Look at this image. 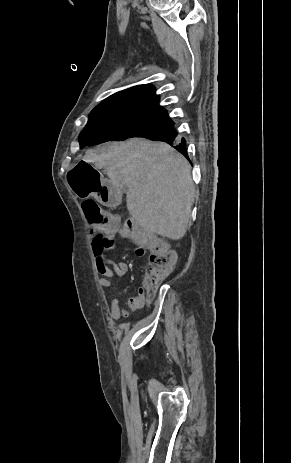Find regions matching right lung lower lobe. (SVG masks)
I'll return each instance as SVG.
<instances>
[{"label":"right lung lower lobe","instance_id":"1","mask_svg":"<svg viewBox=\"0 0 291 463\" xmlns=\"http://www.w3.org/2000/svg\"><path fill=\"white\" fill-rule=\"evenodd\" d=\"M167 121L170 124L168 128L146 138L154 141H163L168 143L169 145L173 146L176 150H178L180 153H182L189 160L186 147V140L182 138L181 142L178 143V132L173 127L174 123L170 119Z\"/></svg>","mask_w":291,"mask_h":463}]
</instances>
